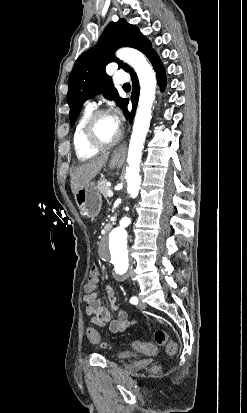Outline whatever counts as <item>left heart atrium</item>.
<instances>
[{
    "mask_svg": "<svg viewBox=\"0 0 247 413\" xmlns=\"http://www.w3.org/2000/svg\"><path fill=\"white\" fill-rule=\"evenodd\" d=\"M105 119L111 128L119 132L121 126V111L118 108H113L111 112L107 113Z\"/></svg>",
    "mask_w": 247,
    "mask_h": 413,
    "instance_id": "obj_1",
    "label": "left heart atrium"
}]
</instances>
